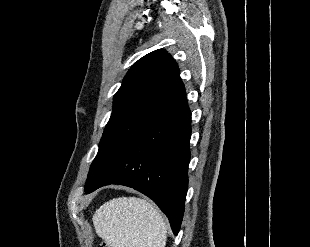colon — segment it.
<instances>
[{
  "instance_id": "1",
  "label": "colon",
  "mask_w": 310,
  "mask_h": 247,
  "mask_svg": "<svg viewBox=\"0 0 310 247\" xmlns=\"http://www.w3.org/2000/svg\"><path fill=\"white\" fill-rule=\"evenodd\" d=\"M102 247H108L106 244H103Z\"/></svg>"
}]
</instances>
